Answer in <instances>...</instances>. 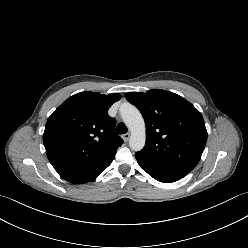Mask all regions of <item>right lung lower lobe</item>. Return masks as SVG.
<instances>
[{
  "instance_id": "right-lung-lower-lobe-1",
  "label": "right lung lower lobe",
  "mask_w": 248,
  "mask_h": 248,
  "mask_svg": "<svg viewBox=\"0 0 248 248\" xmlns=\"http://www.w3.org/2000/svg\"><path fill=\"white\" fill-rule=\"evenodd\" d=\"M116 151L97 161L87 164H55L58 174L68 182L82 184L93 181L106 169L115 157Z\"/></svg>"
}]
</instances>
